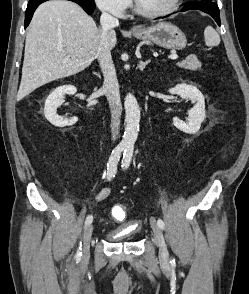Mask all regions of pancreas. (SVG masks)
I'll use <instances>...</instances> for the list:
<instances>
[{"mask_svg": "<svg viewBox=\"0 0 249 294\" xmlns=\"http://www.w3.org/2000/svg\"><path fill=\"white\" fill-rule=\"evenodd\" d=\"M180 68L197 71L201 68V63L197 60L195 55H190L185 58L182 62L178 63Z\"/></svg>", "mask_w": 249, "mask_h": 294, "instance_id": "1", "label": "pancreas"}]
</instances>
